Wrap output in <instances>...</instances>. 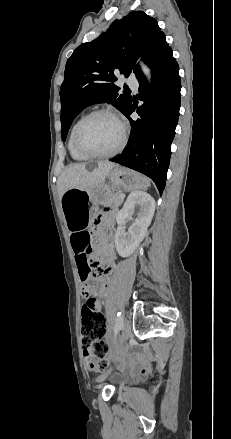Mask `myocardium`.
Returning a JSON list of instances; mask_svg holds the SVG:
<instances>
[{
    "mask_svg": "<svg viewBox=\"0 0 231 439\" xmlns=\"http://www.w3.org/2000/svg\"><path fill=\"white\" fill-rule=\"evenodd\" d=\"M100 116H107V117L114 119L116 122H118L119 125L121 126V129H122V136H121V140H120L119 144L113 150H111L107 153H92L82 146V144L80 142V134L87 123H89L91 120H93L97 117H100ZM127 135H128L127 127H126L125 123L121 120V118L118 116V114H116L114 111L109 110V109H100V110H95V111L87 114L85 117H83L79 121V123L77 124V126L74 130V133H73V144H74L75 149L80 154L85 156L86 158L106 159V158H111V157L117 155L118 153H120L124 149V147L127 143Z\"/></svg>",
    "mask_w": 231,
    "mask_h": 439,
    "instance_id": "1",
    "label": "myocardium"
}]
</instances>
